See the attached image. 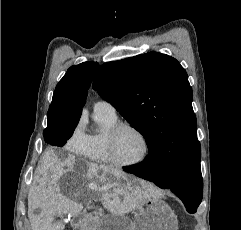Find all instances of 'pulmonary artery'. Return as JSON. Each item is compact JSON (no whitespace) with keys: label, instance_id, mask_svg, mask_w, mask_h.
Returning a JSON list of instances; mask_svg holds the SVG:
<instances>
[{"label":"pulmonary artery","instance_id":"obj_1","mask_svg":"<svg viewBox=\"0 0 241 230\" xmlns=\"http://www.w3.org/2000/svg\"><path fill=\"white\" fill-rule=\"evenodd\" d=\"M94 112L106 113L109 115L116 116V110L113 107V105H111L109 102L103 101V100L97 101L94 104Z\"/></svg>","mask_w":241,"mask_h":230}]
</instances>
